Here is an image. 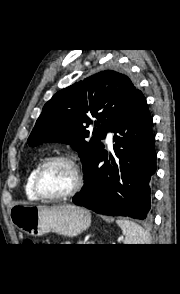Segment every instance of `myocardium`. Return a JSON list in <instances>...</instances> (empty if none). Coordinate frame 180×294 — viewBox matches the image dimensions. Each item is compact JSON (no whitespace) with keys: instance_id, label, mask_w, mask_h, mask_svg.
Returning a JSON list of instances; mask_svg holds the SVG:
<instances>
[{"instance_id":"f54148a6","label":"myocardium","mask_w":180,"mask_h":294,"mask_svg":"<svg viewBox=\"0 0 180 294\" xmlns=\"http://www.w3.org/2000/svg\"><path fill=\"white\" fill-rule=\"evenodd\" d=\"M55 163H65L72 168L73 173L75 175V184L66 193L50 196V195L44 194L41 191L40 179L44 171ZM83 185H84V177H83L82 171L78 163L75 161V159L68 155H58V156H53L48 158L45 162H43L39 166L33 178V190L36 194V197L43 201H60V200H65V199L74 197L81 191V189L83 188Z\"/></svg>"}]
</instances>
